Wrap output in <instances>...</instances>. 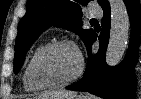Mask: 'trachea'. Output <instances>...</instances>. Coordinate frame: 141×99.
<instances>
[{"label":"trachea","instance_id":"obj_1","mask_svg":"<svg viewBox=\"0 0 141 99\" xmlns=\"http://www.w3.org/2000/svg\"><path fill=\"white\" fill-rule=\"evenodd\" d=\"M91 22L95 23V22H97V20L96 19H91Z\"/></svg>","mask_w":141,"mask_h":99}]
</instances>
